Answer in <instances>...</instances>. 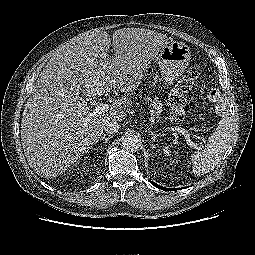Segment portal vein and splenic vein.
Here are the masks:
<instances>
[{
    "label": "portal vein and splenic vein",
    "instance_id": "18ae733b",
    "mask_svg": "<svg viewBox=\"0 0 255 255\" xmlns=\"http://www.w3.org/2000/svg\"><path fill=\"white\" fill-rule=\"evenodd\" d=\"M109 109H110L109 104L100 103L97 107L94 108V111L91 113V115L94 116V115L106 113V112L109 111ZM149 120H150L151 123L154 124L155 120H154L153 116H150ZM168 130L177 131L179 133H182L185 136V138L187 139L188 144L190 146L195 147L194 143L190 141V133L186 129L181 128V127H171V128H168ZM201 140L205 141L204 137H201Z\"/></svg>",
    "mask_w": 255,
    "mask_h": 255
}]
</instances>
